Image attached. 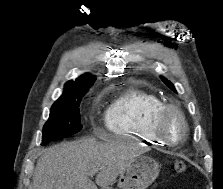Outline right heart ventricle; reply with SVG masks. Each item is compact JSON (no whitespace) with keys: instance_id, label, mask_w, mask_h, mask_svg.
I'll return each instance as SVG.
<instances>
[{"instance_id":"obj_1","label":"right heart ventricle","mask_w":223,"mask_h":189,"mask_svg":"<svg viewBox=\"0 0 223 189\" xmlns=\"http://www.w3.org/2000/svg\"><path fill=\"white\" fill-rule=\"evenodd\" d=\"M165 105L154 93L136 88L122 92L106 112V127L115 135H126L151 145H164L153 124L157 113Z\"/></svg>"}]
</instances>
